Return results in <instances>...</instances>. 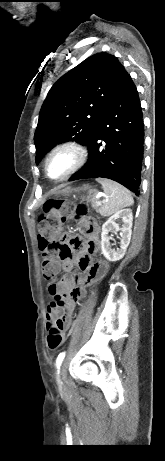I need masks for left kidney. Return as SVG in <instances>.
<instances>
[{
    "instance_id": "1",
    "label": "left kidney",
    "mask_w": 165,
    "mask_h": 461,
    "mask_svg": "<svg viewBox=\"0 0 165 461\" xmlns=\"http://www.w3.org/2000/svg\"><path fill=\"white\" fill-rule=\"evenodd\" d=\"M122 218L123 225L120 228L119 224L116 221ZM133 215L130 208L119 210L115 212L102 226L101 233V249L102 254L109 261H118L122 259L126 253L127 247L131 239V228H132ZM120 231V248L114 250L111 248L109 240V232H118Z\"/></svg>"
}]
</instances>
